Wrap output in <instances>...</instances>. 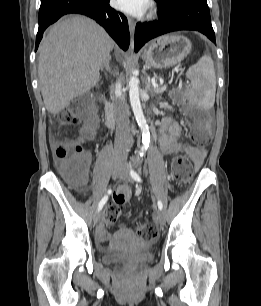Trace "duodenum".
<instances>
[{
  "instance_id": "410a0bca",
  "label": "duodenum",
  "mask_w": 261,
  "mask_h": 306,
  "mask_svg": "<svg viewBox=\"0 0 261 306\" xmlns=\"http://www.w3.org/2000/svg\"><path fill=\"white\" fill-rule=\"evenodd\" d=\"M105 124L109 128L114 126V106L111 102L105 104Z\"/></svg>"
}]
</instances>
